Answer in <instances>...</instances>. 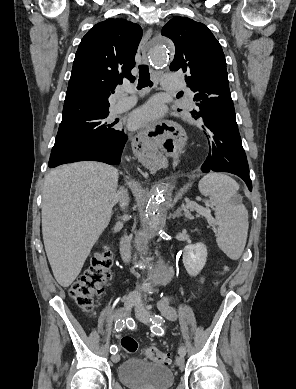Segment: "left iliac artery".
Returning a JSON list of instances; mask_svg holds the SVG:
<instances>
[{"instance_id": "left-iliac-artery-1", "label": "left iliac artery", "mask_w": 296, "mask_h": 389, "mask_svg": "<svg viewBox=\"0 0 296 389\" xmlns=\"http://www.w3.org/2000/svg\"><path fill=\"white\" fill-rule=\"evenodd\" d=\"M150 321L153 324L151 326V331L154 334H156V335H162L163 334V330L161 328V325L164 322L163 318L161 316H159V315H155V316H152V318H150ZM178 353L180 355H185L186 354L185 347L184 346H180L179 349H178Z\"/></svg>"}]
</instances>
